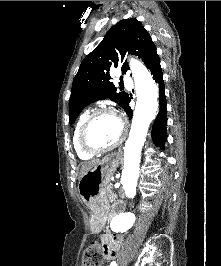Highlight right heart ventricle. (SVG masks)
<instances>
[{
  "label": "right heart ventricle",
  "instance_id": "obj_1",
  "mask_svg": "<svg viewBox=\"0 0 221 266\" xmlns=\"http://www.w3.org/2000/svg\"><path fill=\"white\" fill-rule=\"evenodd\" d=\"M88 115H89V111L86 110L79 116L78 121H77L76 126H75V129H74V133H73L74 149H75L77 155L81 159H85V160L92 158V156L94 155V154H91V153L84 151L80 145V142H79L80 129H81V126Z\"/></svg>",
  "mask_w": 221,
  "mask_h": 266
}]
</instances>
